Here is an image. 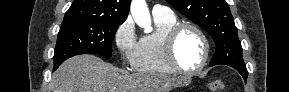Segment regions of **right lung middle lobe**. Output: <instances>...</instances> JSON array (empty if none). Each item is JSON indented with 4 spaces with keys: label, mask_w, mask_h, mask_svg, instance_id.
<instances>
[{
    "label": "right lung middle lobe",
    "mask_w": 289,
    "mask_h": 92,
    "mask_svg": "<svg viewBox=\"0 0 289 92\" xmlns=\"http://www.w3.org/2000/svg\"><path fill=\"white\" fill-rule=\"evenodd\" d=\"M123 22L68 20L60 27L54 53V69L66 59L84 53L111 58V43Z\"/></svg>",
    "instance_id": "1"
}]
</instances>
